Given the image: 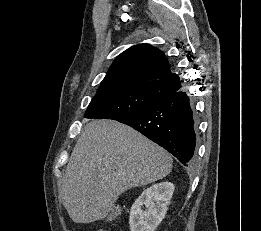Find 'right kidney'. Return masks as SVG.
Masks as SVG:
<instances>
[{"label":"right kidney","mask_w":261,"mask_h":231,"mask_svg":"<svg viewBox=\"0 0 261 231\" xmlns=\"http://www.w3.org/2000/svg\"><path fill=\"white\" fill-rule=\"evenodd\" d=\"M173 192L174 185L170 182H160L144 190L131 207V231H155L165 217Z\"/></svg>","instance_id":"1"}]
</instances>
